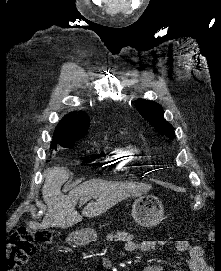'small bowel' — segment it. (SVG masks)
I'll list each match as a JSON object with an SVG mask.
<instances>
[{
	"label": "small bowel",
	"instance_id": "small-bowel-1",
	"mask_svg": "<svg viewBox=\"0 0 221 271\" xmlns=\"http://www.w3.org/2000/svg\"><path fill=\"white\" fill-rule=\"evenodd\" d=\"M165 244L159 240H144L141 242L135 240H128L125 244V248L128 252H150L154 251ZM175 248L178 252H187L189 255L188 266L190 271H209L203 259V249L199 245L191 244L187 240H177L175 242ZM143 271H163L161 265H148L143 268Z\"/></svg>",
	"mask_w": 221,
	"mask_h": 271
}]
</instances>
